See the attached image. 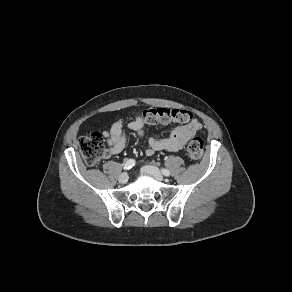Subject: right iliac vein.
<instances>
[{"mask_svg": "<svg viewBox=\"0 0 292 292\" xmlns=\"http://www.w3.org/2000/svg\"><path fill=\"white\" fill-rule=\"evenodd\" d=\"M119 183L125 184L128 181V174L122 173L118 178Z\"/></svg>", "mask_w": 292, "mask_h": 292, "instance_id": "63e3f726", "label": "right iliac vein"}]
</instances>
